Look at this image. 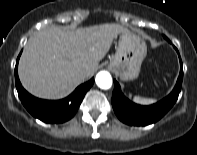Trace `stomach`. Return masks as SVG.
Masks as SVG:
<instances>
[{"instance_id":"1","label":"stomach","mask_w":197,"mask_h":155,"mask_svg":"<svg viewBox=\"0 0 197 155\" xmlns=\"http://www.w3.org/2000/svg\"><path fill=\"white\" fill-rule=\"evenodd\" d=\"M146 54L147 46L144 40L130 32L121 33L117 51L109 67L121 80H134L140 73Z\"/></svg>"}]
</instances>
